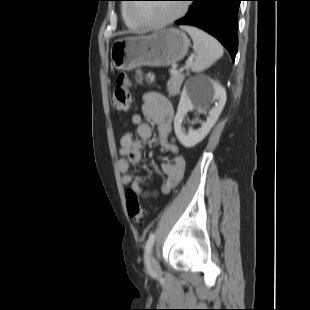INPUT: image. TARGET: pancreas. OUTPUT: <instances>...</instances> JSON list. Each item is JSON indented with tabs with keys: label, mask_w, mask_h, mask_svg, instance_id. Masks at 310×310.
I'll list each match as a JSON object with an SVG mask.
<instances>
[{
	"label": "pancreas",
	"mask_w": 310,
	"mask_h": 310,
	"mask_svg": "<svg viewBox=\"0 0 310 310\" xmlns=\"http://www.w3.org/2000/svg\"><path fill=\"white\" fill-rule=\"evenodd\" d=\"M184 79L185 75L182 73H174V72L171 73V78L167 83V91L170 96H175L179 94L180 87Z\"/></svg>",
	"instance_id": "1"
}]
</instances>
